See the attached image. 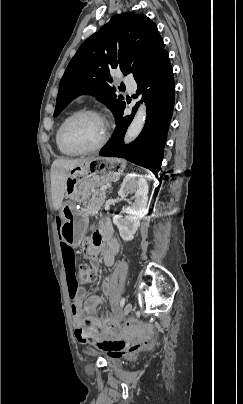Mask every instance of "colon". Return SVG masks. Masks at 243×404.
I'll return each instance as SVG.
<instances>
[{
    "instance_id": "1",
    "label": "colon",
    "mask_w": 243,
    "mask_h": 404,
    "mask_svg": "<svg viewBox=\"0 0 243 404\" xmlns=\"http://www.w3.org/2000/svg\"><path fill=\"white\" fill-rule=\"evenodd\" d=\"M78 278L82 283H91L96 279V272L93 266L89 263H81L78 268ZM103 292L107 296L112 293V282L110 277H106L103 281ZM152 344L149 337L125 341L117 338H104L96 342L97 347L115 355H133Z\"/></svg>"
}]
</instances>
